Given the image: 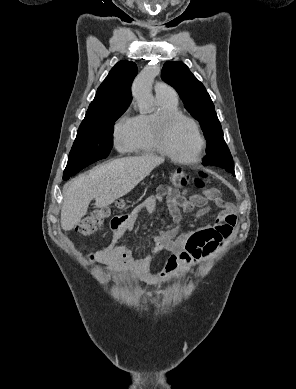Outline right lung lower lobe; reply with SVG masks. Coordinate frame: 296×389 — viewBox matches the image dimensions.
<instances>
[{"label": "right lung lower lobe", "instance_id": "98d812e1", "mask_svg": "<svg viewBox=\"0 0 296 389\" xmlns=\"http://www.w3.org/2000/svg\"><path fill=\"white\" fill-rule=\"evenodd\" d=\"M77 172H79V171L75 170V171H71V172H68V173H64L63 179L67 180V179H69V177L75 175Z\"/></svg>", "mask_w": 296, "mask_h": 389}]
</instances>
